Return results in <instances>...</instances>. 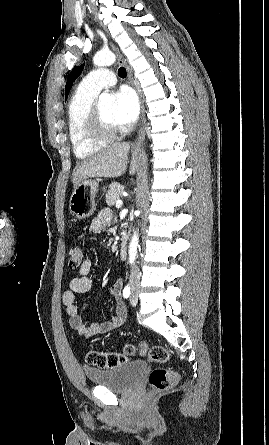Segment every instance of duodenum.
<instances>
[{
	"mask_svg": "<svg viewBox=\"0 0 269 445\" xmlns=\"http://www.w3.org/2000/svg\"><path fill=\"white\" fill-rule=\"evenodd\" d=\"M119 255L122 259L127 257V242L126 240H122L119 246Z\"/></svg>",
	"mask_w": 269,
	"mask_h": 445,
	"instance_id": "410a0bca",
	"label": "duodenum"
}]
</instances>
